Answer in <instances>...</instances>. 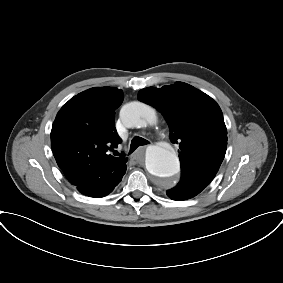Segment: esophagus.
Returning a JSON list of instances; mask_svg holds the SVG:
<instances>
[{
	"instance_id": "34e87169",
	"label": "esophagus",
	"mask_w": 283,
	"mask_h": 283,
	"mask_svg": "<svg viewBox=\"0 0 283 283\" xmlns=\"http://www.w3.org/2000/svg\"><path fill=\"white\" fill-rule=\"evenodd\" d=\"M146 146L140 147L132 156L131 159L135 160L137 162H140L143 160V157H140V153H144Z\"/></svg>"
}]
</instances>
